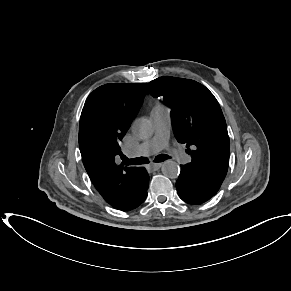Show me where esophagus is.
<instances>
[{"mask_svg": "<svg viewBox=\"0 0 291 291\" xmlns=\"http://www.w3.org/2000/svg\"><path fill=\"white\" fill-rule=\"evenodd\" d=\"M161 166H162V163H151L150 165H148V168L155 171V170H158Z\"/></svg>", "mask_w": 291, "mask_h": 291, "instance_id": "obj_1", "label": "esophagus"}]
</instances>
